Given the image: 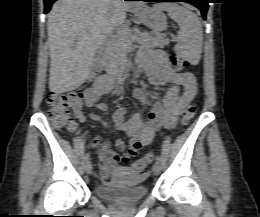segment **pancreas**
I'll return each instance as SVG.
<instances>
[{
    "instance_id": "pancreas-1",
    "label": "pancreas",
    "mask_w": 260,
    "mask_h": 217,
    "mask_svg": "<svg viewBox=\"0 0 260 217\" xmlns=\"http://www.w3.org/2000/svg\"><path fill=\"white\" fill-rule=\"evenodd\" d=\"M133 41H137L145 47H164L169 43L168 39L158 33H140L129 29L127 26H121L106 41L103 61L105 69L120 63L126 57Z\"/></svg>"
}]
</instances>
